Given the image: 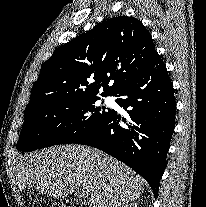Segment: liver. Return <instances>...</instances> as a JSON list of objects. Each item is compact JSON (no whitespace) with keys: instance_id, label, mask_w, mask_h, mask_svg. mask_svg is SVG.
<instances>
[{"instance_id":"obj_1","label":"liver","mask_w":206,"mask_h":207,"mask_svg":"<svg viewBox=\"0 0 206 207\" xmlns=\"http://www.w3.org/2000/svg\"><path fill=\"white\" fill-rule=\"evenodd\" d=\"M19 189L65 199L73 190L89 196V207H119L139 198L143 179L113 157L87 146H57L28 154L16 167Z\"/></svg>"}]
</instances>
